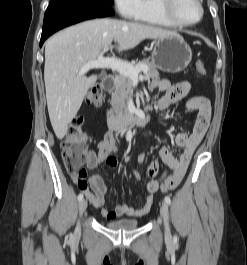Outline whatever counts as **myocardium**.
Segmentation results:
<instances>
[{"instance_id":"obj_1","label":"myocardium","mask_w":247,"mask_h":265,"mask_svg":"<svg viewBox=\"0 0 247 265\" xmlns=\"http://www.w3.org/2000/svg\"><path fill=\"white\" fill-rule=\"evenodd\" d=\"M160 1V9L164 13V15L176 26L178 27H192L199 24L204 17V6L202 0H196L199 8H200V16L194 22H184L182 21L175 12V5L177 0H159Z\"/></svg>"}]
</instances>
